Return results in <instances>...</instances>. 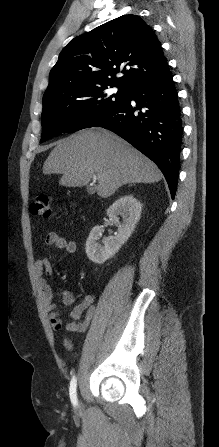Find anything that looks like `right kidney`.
<instances>
[{"instance_id": "ca27d5eb", "label": "right kidney", "mask_w": 219, "mask_h": 447, "mask_svg": "<svg viewBox=\"0 0 219 447\" xmlns=\"http://www.w3.org/2000/svg\"><path fill=\"white\" fill-rule=\"evenodd\" d=\"M141 211L142 204L133 195H125L116 200L107 209V216L118 227V234L103 238L101 245L98 240L102 237V226L93 227L86 241L87 257L96 264H103L112 258L133 233ZM119 215L122 222H119Z\"/></svg>"}]
</instances>
